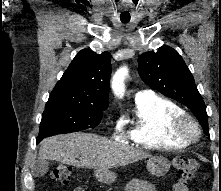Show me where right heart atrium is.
<instances>
[{
  "label": "right heart atrium",
  "instance_id": "obj_1",
  "mask_svg": "<svg viewBox=\"0 0 221 191\" xmlns=\"http://www.w3.org/2000/svg\"><path fill=\"white\" fill-rule=\"evenodd\" d=\"M122 133H123V130H122V125L120 122H118L115 126V135L117 137H121L122 136Z\"/></svg>",
  "mask_w": 221,
  "mask_h": 191
}]
</instances>
